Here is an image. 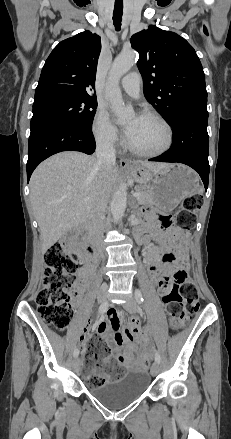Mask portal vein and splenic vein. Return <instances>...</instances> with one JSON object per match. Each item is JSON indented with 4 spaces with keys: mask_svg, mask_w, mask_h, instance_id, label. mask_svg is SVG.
I'll list each match as a JSON object with an SVG mask.
<instances>
[{
    "mask_svg": "<svg viewBox=\"0 0 231 439\" xmlns=\"http://www.w3.org/2000/svg\"><path fill=\"white\" fill-rule=\"evenodd\" d=\"M139 196H140V193H138V192L134 194V197H139Z\"/></svg>",
    "mask_w": 231,
    "mask_h": 439,
    "instance_id": "1",
    "label": "portal vein and splenic vein"
}]
</instances>
